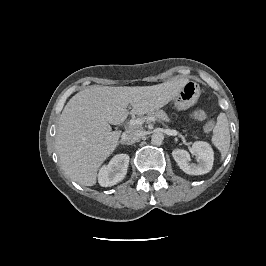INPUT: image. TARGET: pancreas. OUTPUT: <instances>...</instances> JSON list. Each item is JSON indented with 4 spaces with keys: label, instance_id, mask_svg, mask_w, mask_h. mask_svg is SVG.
<instances>
[{
    "label": "pancreas",
    "instance_id": "obj_1",
    "mask_svg": "<svg viewBox=\"0 0 266 266\" xmlns=\"http://www.w3.org/2000/svg\"><path fill=\"white\" fill-rule=\"evenodd\" d=\"M149 117H155L161 121L170 122L168 115L163 110H157L155 112H150L146 116L141 115L138 119H142L145 122L147 121Z\"/></svg>",
    "mask_w": 266,
    "mask_h": 266
}]
</instances>
